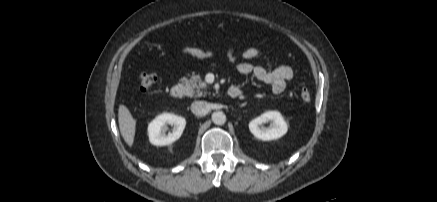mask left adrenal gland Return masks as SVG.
I'll return each mask as SVG.
<instances>
[{"mask_svg": "<svg viewBox=\"0 0 437 202\" xmlns=\"http://www.w3.org/2000/svg\"><path fill=\"white\" fill-rule=\"evenodd\" d=\"M245 106V104H242L241 107Z\"/></svg>", "mask_w": 437, "mask_h": 202, "instance_id": "left-adrenal-gland-1", "label": "left adrenal gland"}]
</instances>
